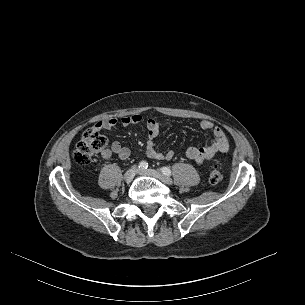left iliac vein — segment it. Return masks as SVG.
<instances>
[{"instance_id":"left-iliac-vein-1","label":"left iliac vein","mask_w":305,"mask_h":305,"mask_svg":"<svg viewBox=\"0 0 305 305\" xmlns=\"http://www.w3.org/2000/svg\"><path fill=\"white\" fill-rule=\"evenodd\" d=\"M139 174L154 177L167 185L172 184L171 178L165 176L164 174H162L161 172H159L157 170H153V169L140 170Z\"/></svg>"}]
</instances>
